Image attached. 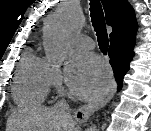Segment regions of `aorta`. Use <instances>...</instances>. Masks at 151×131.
I'll list each match as a JSON object with an SVG mask.
<instances>
[{
	"mask_svg": "<svg viewBox=\"0 0 151 131\" xmlns=\"http://www.w3.org/2000/svg\"><path fill=\"white\" fill-rule=\"evenodd\" d=\"M78 25L77 13L70 6L46 21L44 38L49 59L58 61L64 57L68 35L76 30Z\"/></svg>",
	"mask_w": 151,
	"mask_h": 131,
	"instance_id": "obj_1",
	"label": "aorta"
}]
</instances>
